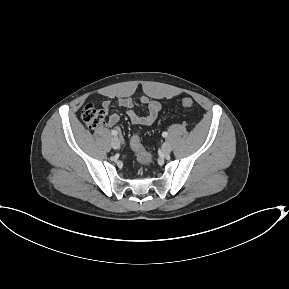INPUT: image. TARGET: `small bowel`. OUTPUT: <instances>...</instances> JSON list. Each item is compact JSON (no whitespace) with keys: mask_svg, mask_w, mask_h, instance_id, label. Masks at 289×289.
Here are the masks:
<instances>
[{"mask_svg":"<svg viewBox=\"0 0 289 289\" xmlns=\"http://www.w3.org/2000/svg\"><path fill=\"white\" fill-rule=\"evenodd\" d=\"M140 101H141V103L147 105V107H148V112L146 115H140V114L136 113L133 110V101L129 98L120 99L118 101V105L128 109L127 114H128L130 121L133 124L142 125V126H149V125L153 124L155 122V120L157 119V117H158V115L162 109V105L160 102H158L156 100H151L147 96H142L140 98ZM102 107H103V110L105 111V113H108L112 107L111 101H109V100L104 101L102 103ZM119 121H120L119 114L112 112L109 114L107 124L109 127L114 128L117 126Z\"/></svg>","mask_w":289,"mask_h":289,"instance_id":"c3829d8e","label":"small bowel"}]
</instances>
